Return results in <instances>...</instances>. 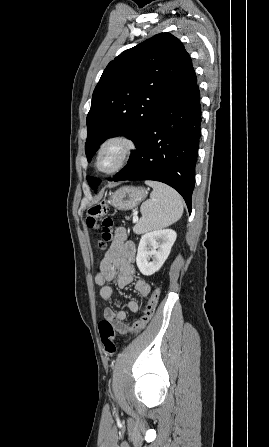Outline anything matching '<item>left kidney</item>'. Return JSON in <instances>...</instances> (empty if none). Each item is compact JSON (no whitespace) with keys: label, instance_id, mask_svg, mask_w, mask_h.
<instances>
[{"label":"left kidney","instance_id":"1","mask_svg":"<svg viewBox=\"0 0 269 447\" xmlns=\"http://www.w3.org/2000/svg\"><path fill=\"white\" fill-rule=\"evenodd\" d=\"M177 237L174 229H157L142 235L138 245L136 263L143 275H152L167 259ZM152 261H149V259Z\"/></svg>","mask_w":269,"mask_h":447}]
</instances>
